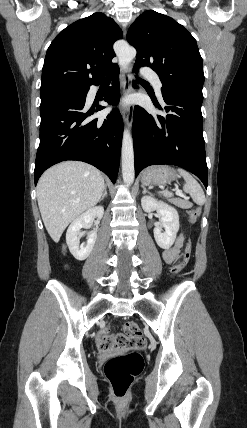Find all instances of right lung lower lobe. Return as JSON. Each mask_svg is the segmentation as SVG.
<instances>
[{
    "instance_id": "98d812e1",
    "label": "right lung lower lobe",
    "mask_w": 247,
    "mask_h": 428,
    "mask_svg": "<svg viewBox=\"0 0 247 428\" xmlns=\"http://www.w3.org/2000/svg\"><path fill=\"white\" fill-rule=\"evenodd\" d=\"M110 73L113 74L114 81H117L119 67H115ZM100 83L101 81L96 85ZM119 98L120 93L109 88L101 100L117 104ZM85 101L86 96L41 101L40 144L35 161V184L47 168L65 160L92 164L115 183L123 132L121 115L115 109L104 120H91L89 117L104 107L96 105L87 110Z\"/></svg>"
}]
</instances>
